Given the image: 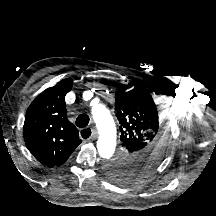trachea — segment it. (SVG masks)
Here are the masks:
<instances>
[{
	"instance_id": "1",
	"label": "trachea",
	"mask_w": 216,
	"mask_h": 216,
	"mask_svg": "<svg viewBox=\"0 0 216 216\" xmlns=\"http://www.w3.org/2000/svg\"><path fill=\"white\" fill-rule=\"evenodd\" d=\"M90 118L86 114H81L76 119V126L79 128H84L89 124ZM90 136V133L82 134L84 139H87Z\"/></svg>"
}]
</instances>
